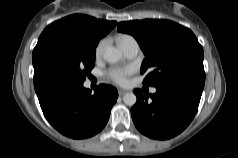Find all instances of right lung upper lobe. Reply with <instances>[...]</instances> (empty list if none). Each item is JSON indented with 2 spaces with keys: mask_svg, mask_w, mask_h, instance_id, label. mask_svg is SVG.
Masks as SVG:
<instances>
[{
  "mask_svg": "<svg viewBox=\"0 0 238 158\" xmlns=\"http://www.w3.org/2000/svg\"><path fill=\"white\" fill-rule=\"evenodd\" d=\"M54 24L80 28L88 34L100 39L111 31L117 24L116 21L99 20L86 15H70L55 21Z\"/></svg>",
  "mask_w": 238,
  "mask_h": 158,
  "instance_id": "right-lung-upper-lobe-1",
  "label": "right lung upper lobe"
}]
</instances>
